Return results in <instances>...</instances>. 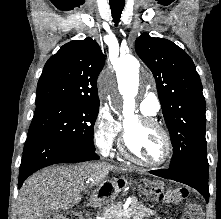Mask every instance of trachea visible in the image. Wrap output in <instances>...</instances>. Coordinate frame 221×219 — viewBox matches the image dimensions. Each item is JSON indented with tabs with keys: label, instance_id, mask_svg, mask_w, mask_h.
Instances as JSON below:
<instances>
[{
	"label": "trachea",
	"instance_id": "3493384b",
	"mask_svg": "<svg viewBox=\"0 0 221 219\" xmlns=\"http://www.w3.org/2000/svg\"><path fill=\"white\" fill-rule=\"evenodd\" d=\"M125 2H110L111 13L113 17V22L118 25L120 22L121 14L124 9Z\"/></svg>",
	"mask_w": 221,
	"mask_h": 219
}]
</instances>
